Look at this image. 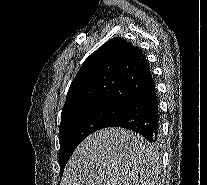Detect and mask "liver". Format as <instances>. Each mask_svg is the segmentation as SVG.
<instances>
[{
	"label": "liver",
	"mask_w": 207,
	"mask_h": 185,
	"mask_svg": "<svg viewBox=\"0 0 207 185\" xmlns=\"http://www.w3.org/2000/svg\"><path fill=\"white\" fill-rule=\"evenodd\" d=\"M152 149L134 131L100 129L75 149L61 185H147L148 177L159 171Z\"/></svg>",
	"instance_id": "1"
}]
</instances>
